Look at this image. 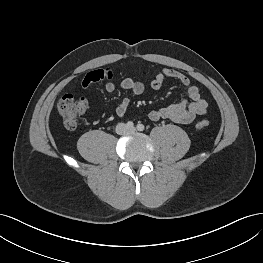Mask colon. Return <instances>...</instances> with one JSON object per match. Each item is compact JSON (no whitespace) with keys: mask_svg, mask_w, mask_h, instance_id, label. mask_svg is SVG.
Returning a JSON list of instances; mask_svg holds the SVG:
<instances>
[{"mask_svg":"<svg viewBox=\"0 0 263 263\" xmlns=\"http://www.w3.org/2000/svg\"><path fill=\"white\" fill-rule=\"evenodd\" d=\"M59 115L67 129H75L80 118L86 111L87 102L83 97H75L72 94L63 95L57 104ZM207 121H201L197 124L199 129L208 127Z\"/></svg>","mask_w":263,"mask_h":263,"instance_id":"colon-1","label":"colon"}]
</instances>
